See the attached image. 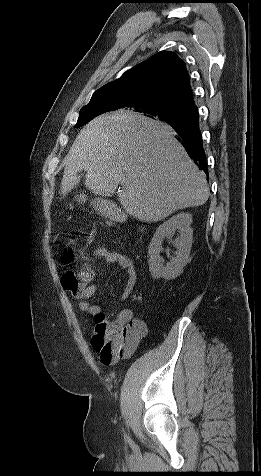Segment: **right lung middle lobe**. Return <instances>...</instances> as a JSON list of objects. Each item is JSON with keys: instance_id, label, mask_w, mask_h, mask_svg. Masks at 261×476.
I'll list each match as a JSON object with an SVG mask.
<instances>
[{"instance_id": "obj_1", "label": "right lung middle lobe", "mask_w": 261, "mask_h": 476, "mask_svg": "<svg viewBox=\"0 0 261 476\" xmlns=\"http://www.w3.org/2000/svg\"><path fill=\"white\" fill-rule=\"evenodd\" d=\"M119 109L118 98L115 96H107L90 101L84 106L79 113V119L75 127H81L94 117ZM142 113L147 116L155 117L166 123L179 120L183 117L185 111L165 104L148 103L137 109L131 110Z\"/></svg>"}]
</instances>
